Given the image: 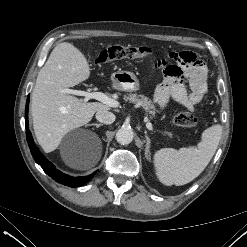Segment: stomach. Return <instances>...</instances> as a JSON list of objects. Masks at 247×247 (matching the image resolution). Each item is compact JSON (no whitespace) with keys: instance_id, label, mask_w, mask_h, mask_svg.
I'll list each match as a JSON object with an SVG mask.
<instances>
[{"instance_id":"obj_1","label":"stomach","mask_w":247,"mask_h":247,"mask_svg":"<svg viewBox=\"0 0 247 247\" xmlns=\"http://www.w3.org/2000/svg\"><path fill=\"white\" fill-rule=\"evenodd\" d=\"M113 87L120 91L135 92L140 89L136 75L129 71H117L111 75Z\"/></svg>"}]
</instances>
